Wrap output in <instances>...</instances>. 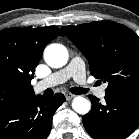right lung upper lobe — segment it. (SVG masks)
Returning <instances> with one entry per match:
<instances>
[{"instance_id": "obj_1", "label": "right lung upper lobe", "mask_w": 139, "mask_h": 139, "mask_svg": "<svg viewBox=\"0 0 139 139\" xmlns=\"http://www.w3.org/2000/svg\"><path fill=\"white\" fill-rule=\"evenodd\" d=\"M62 35L55 26L0 31V71L6 72L16 85L19 102L35 96L31 86L34 69L47 43Z\"/></svg>"}]
</instances>
